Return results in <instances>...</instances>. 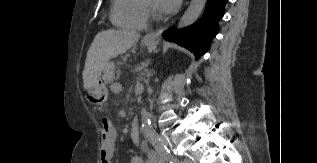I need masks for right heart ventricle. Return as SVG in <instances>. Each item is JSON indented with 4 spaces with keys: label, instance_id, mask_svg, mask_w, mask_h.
<instances>
[{
    "label": "right heart ventricle",
    "instance_id": "e07e8e85",
    "mask_svg": "<svg viewBox=\"0 0 317 163\" xmlns=\"http://www.w3.org/2000/svg\"><path fill=\"white\" fill-rule=\"evenodd\" d=\"M142 2L143 0H112V23L125 29H144L147 26V16Z\"/></svg>",
    "mask_w": 317,
    "mask_h": 163
}]
</instances>
